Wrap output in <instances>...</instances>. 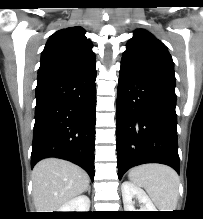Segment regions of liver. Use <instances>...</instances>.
Returning <instances> with one entry per match:
<instances>
[{
	"label": "liver",
	"instance_id": "1",
	"mask_svg": "<svg viewBox=\"0 0 203 219\" xmlns=\"http://www.w3.org/2000/svg\"><path fill=\"white\" fill-rule=\"evenodd\" d=\"M32 181L37 212H58L61 206L87 190L90 178L69 161L46 158L33 168Z\"/></svg>",
	"mask_w": 203,
	"mask_h": 219
}]
</instances>
